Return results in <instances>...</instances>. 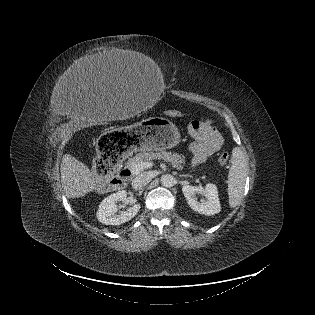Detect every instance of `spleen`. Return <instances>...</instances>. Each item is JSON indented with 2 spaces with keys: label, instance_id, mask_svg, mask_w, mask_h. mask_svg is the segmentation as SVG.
<instances>
[{
  "label": "spleen",
  "instance_id": "3e777b00",
  "mask_svg": "<svg viewBox=\"0 0 315 315\" xmlns=\"http://www.w3.org/2000/svg\"><path fill=\"white\" fill-rule=\"evenodd\" d=\"M248 162L239 147L232 151L231 166L228 174L229 205L234 208L238 205L244 191Z\"/></svg>",
  "mask_w": 315,
  "mask_h": 315
}]
</instances>
